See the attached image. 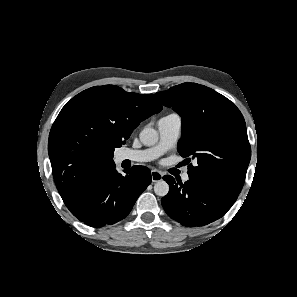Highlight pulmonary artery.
<instances>
[{
	"mask_svg": "<svg viewBox=\"0 0 297 297\" xmlns=\"http://www.w3.org/2000/svg\"><path fill=\"white\" fill-rule=\"evenodd\" d=\"M158 130L160 134V141L156 146L144 150L122 151L118 156V160L149 162L158 158L177 142L181 133L180 117L176 114H171L161 118L158 121ZM182 179L185 182L188 181L189 175L187 173L183 174Z\"/></svg>",
	"mask_w": 297,
	"mask_h": 297,
	"instance_id": "pulmonary-artery-1",
	"label": "pulmonary artery"
}]
</instances>
